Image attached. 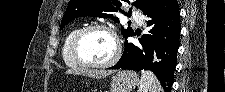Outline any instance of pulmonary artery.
Listing matches in <instances>:
<instances>
[{"label":"pulmonary artery","instance_id":"obj_1","mask_svg":"<svg viewBox=\"0 0 225 92\" xmlns=\"http://www.w3.org/2000/svg\"><path fill=\"white\" fill-rule=\"evenodd\" d=\"M133 18L139 25L144 24V17H143V15L141 13L134 12L133 13Z\"/></svg>","mask_w":225,"mask_h":92}]
</instances>
